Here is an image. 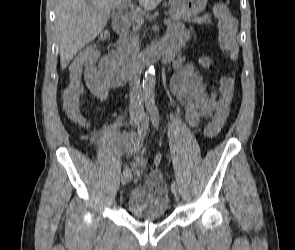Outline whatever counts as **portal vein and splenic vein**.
I'll return each instance as SVG.
<instances>
[{"mask_svg":"<svg viewBox=\"0 0 295 250\" xmlns=\"http://www.w3.org/2000/svg\"><path fill=\"white\" fill-rule=\"evenodd\" d=\"M129 2V0L122 2L118 5V9L123 12L124 9L126 8L127 3ZM130 16L133 20H135L138 24L142 25L144 23V19L141 16V14L137 11V10H132L130 13ZM169 19H164L163 24L164 25H168L169 24Z\"/></svg>","mask_w":295,"mask_h":250,"instance_id":"18ae733b","label":"portal vein and splenic vein"}]
</instances>
